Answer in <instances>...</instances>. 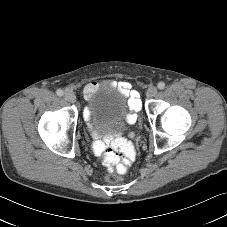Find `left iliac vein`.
<instances>
[{
	"label": "left iliac vein",
	"instance_id": "left-iliac-vein-1",
	"mask_svg": "<svg viewBox=\"0 0 227 227\" xmlns=\"http://www.w3.org/2000/svg\"><path fill=\"white\" fill-rule=\"evenodd\" d=\"M157 92H158L157 87L151 86L148 88L146 95L148 98H152V97L156 96Z\"/></svg>",
	"mask_w": 227,
	"mask_h": 227
}]
</instances>
